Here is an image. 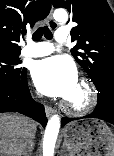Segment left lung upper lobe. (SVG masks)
<instances>
[{
	"instance_id": "5c2ea615",
	"label": "left lung upper lobe",
	"mask_w": 114,
	"mask_h": 156,
	"mask_svg": "<svg viewBox=\"0 0 114 156\" xmlns=\"http://www.w3.org/2000/svg\"><path fill=\"white\" fill-rule=\"evenodd\" d=\"M66 8L78 25L71 30L77 44L71 53L97 90L114 86V15L106 0H52Z\"/></svg>"
}]
</instances>
